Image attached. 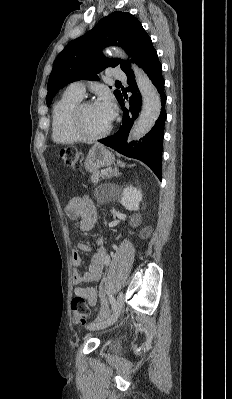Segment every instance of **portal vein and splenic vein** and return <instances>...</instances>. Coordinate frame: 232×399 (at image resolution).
<instances>
[{
    "label": "portal vein and splenic vein",
    "mask_w": 232,
    "mask_h": 399,
    "mask_svg": "<svg viewBox=\"0 0 232 399\" xmlns=\"http://www.w3.org/2000/svg\"><path fill=\"white\" fill-rule=\"evenodd\" d=\"M110 172V168H107V170H101V174H108Z\"/></svg>",
    "instance_id": "obj_1"
}]
</instances>
